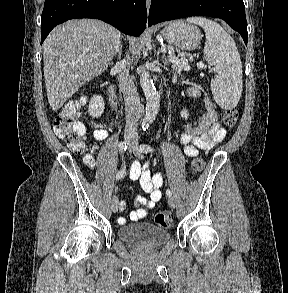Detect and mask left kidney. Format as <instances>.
Returning a JSON list of instances; mask_svg holds the SVG:
<instances>
[{"mask_svg": "<svg viewBox=\"0 0 288 293\" xmlns=\"http://www.w3.org/2000/svg\"><path fill=\"white\" fill-rule=\"evenodd\" d=\"M188 116H189L188 111L186 109H183L181 111V117L185 118V120H187Z\"/></svg>", "mask_w": 288, "mask_h": 293, "instance_id": "5707ae66", "label": "left kidney"}]
</instances>
